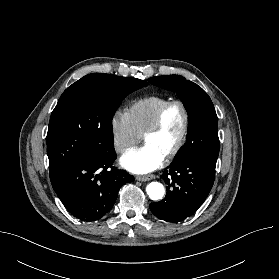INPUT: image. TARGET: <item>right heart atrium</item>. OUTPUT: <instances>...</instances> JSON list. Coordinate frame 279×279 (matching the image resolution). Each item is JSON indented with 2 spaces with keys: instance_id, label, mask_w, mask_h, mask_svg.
Masks as SVG:
<instances>
[{
  "instance_id": "obj_1",
  "label": "right heart atrium",
  "mask_w": 279,
  "mask_h": 279,
  "mask_svg": "<svg viewBox=\"0 0 279 279\" xmlns=\"http://www.w3.org/2000/svg\"><path fill=\"white\" fill-rule=\"evenodd\" d=\"M114 147L117 152L123 154L135 146L141 139L128 114L124 111H116L110 122Z\"/></svg>"
}]
</instances>
